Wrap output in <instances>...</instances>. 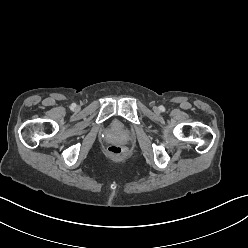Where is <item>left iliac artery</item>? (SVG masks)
Returning <instances> with one entry per match:
<instances>
[{"label": "left iliac artery", "mask_w": 248, "mask_h": 248, "mask_svg": "<svg viewBox=\"0 0 248 248\" xmlns=\"http://www.w3.org/2000/svg\"><path fill=\"white\" fill-rule=\"evenodd\" d=\"M160 109H161L162 111H164L165 108H164L163 106H161Z\"/></svg>", "instance_id": "1"}]
</instances>
